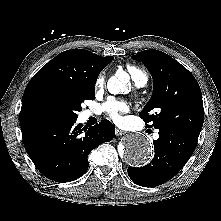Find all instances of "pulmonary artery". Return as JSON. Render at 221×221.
I'll return each mask as SVG.
<instances>
[{
	"mask_svg": "<svg viewBox=\"0 0 221 221\" xmlns=\"http://www.w3.org/2000/svg\"><path fill=\"white\" fill-rule=\"evenodd\" d=\"M146 83H147V81H142L138 86H139V87H143V86L146 85ZM87 115H90V112H87ZM154 136H155V138H157V137H158V134L156 133Z\"/></svg>",
	"mask_w": 221,
	"mask_h": 221,
	"instance_id": "obj_1",
	"label": "pulmonary artery"
}]
</instances>
